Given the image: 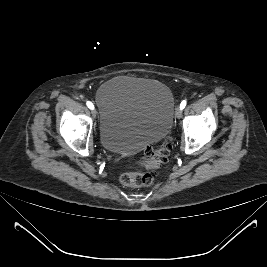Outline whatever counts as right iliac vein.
<instances>
[{"label":"right iliac vein","instance_id":"right-iliac-vein-1","mask_svg":"<svg viewBox=\"0 0 267 267\" xmlns=\"http://www.w3.org/2000/svg\"><path fill=\"white\" fill-rule=\"evenodd\" d=\"M92 115H93L94 117L97 116V111H96V109H93V110H92Z\"/></svg>","mask_w":267,"mask_h":267}]
</instances>
